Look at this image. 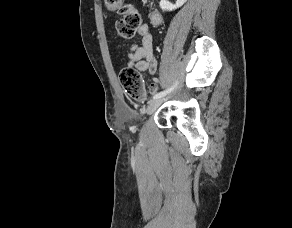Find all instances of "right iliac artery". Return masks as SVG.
<instances>
[{"label":"right iliac artery","mask_w":292,"mask_h":228,"mask_svg":"<svg viewBox=\"0 0 292 228\" xmlns=\"http://www.w3.org/2000/svg\"><path fill=\"white\" fill-rule=\"evenodd\" d=\"M175 85H176V84H175ZM175 85L172 86L171 88L165 90V91H162V92H159V93L155 94V95L153 96V99H159V98L165 96L167 93H169L170 91H172V90L174 89Z\"/></svg>","instance_id":"82829eb1"}]
</instances>
